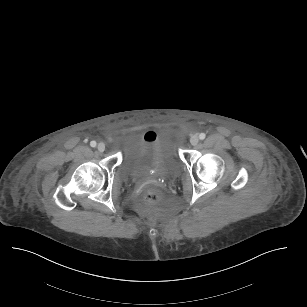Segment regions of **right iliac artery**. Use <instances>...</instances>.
<instances>
[{
	"label": "right iliac artery",
	"mask_w": 307,
	"mask_h": 307,
	"mask_svg": "<svg viewBox=\"0 0 307 307\" xmlns=\"http://www.w3.org/2000/svg\"><path fill=\"white\" fill-rule=\"evenodd\" d=\"M90 146H91V147H96V142H95V141H91V142H90Z\"/></svg>",
	"instance_id": "right-iliac-artery-1"
}]
</instances>
